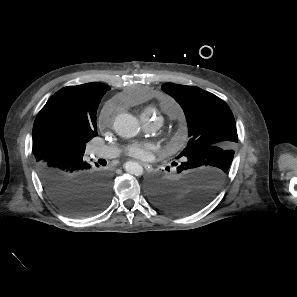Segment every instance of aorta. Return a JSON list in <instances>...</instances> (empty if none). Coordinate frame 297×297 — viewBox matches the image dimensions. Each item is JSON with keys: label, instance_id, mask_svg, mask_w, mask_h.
Returning a JSON list of instances; mask_svg holds the SVG:
<instances>
[{"label": "aorta", "instance_id": "obj_1", "mask_svg": "<svg viewBox=\"0 0 297 297\" xmlns=\"http://www.w3.org/2000/svg\"><path fill=\"white\" fill-rule=\"evenodd\" d=\"M113 127L115 132L124 138L135 137L140 131L137 118L128 113L117 115L114 119ZM124 168L126 172L135 176L143 174V167L135 161L126 162Z\"/></svg>", "mask_w": 297, "mask_h": 297}]
</instances>
